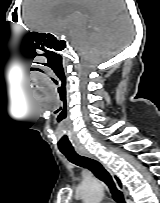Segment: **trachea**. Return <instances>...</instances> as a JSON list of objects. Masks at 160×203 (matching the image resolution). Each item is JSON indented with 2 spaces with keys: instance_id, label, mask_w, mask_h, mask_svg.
Returning <instances> with one entry per match:
<instances>
[{
  "instance_id": "3493384b",
  "label": "trachea",
  "mask_w": 160,
  "mask_h": 203,
  "mask_svg": "<svg viewBox=\"0 0 160 203\" xmlns=\"http://www.w3.org/2000/svg\"><path fill=\"white\" fill-rule=\"evenodd\" d=\"M61 152L70 162L89 169L97 178L105 182L117 203H125L123 193L117 189L111 175L98 161L87 156H81L75 150H61Z\"/></svg>"
}]
</instances>
